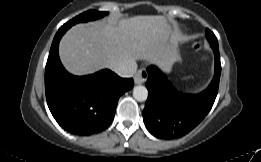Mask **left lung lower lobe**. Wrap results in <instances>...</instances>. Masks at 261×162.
I'll return each instance as SVG.
<instances>
[{
	"mask_svg": "<svg viewBox=\"0 0 261 162\" xmlns=\"http://www.w3.org/2000/svg\"><path fill=\"white\" fill-rule=\"evenodd\" d=\"M211 47L215 54V74L209 87L200 94L178 92L157 67L147 68L148 98L142 115L147 129L155 137L174 139L186 135L212 108L218 93L221 64L218 44L211 43Z\"/></svg>",
	"mask_w": 261,
	"mask_h": 162,
	"instance_id": "0a47b994",
	"label": "left lung lower lobe"
}]
</instances>
